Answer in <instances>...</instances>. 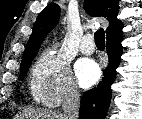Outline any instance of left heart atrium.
<instances>
[{
    "label": "left heart atrium",
    "instance_id": "39dd6f15",
    "mask_svg": "<svg viewBox=\"0 0 142 119\" xmlns=\"http://www.w3.org/2000/svg\"><path fill=\"white\" fill-rule=\"evenodd\" d=\"M76 75L82 87H89L99 80L101 70L93 60L85 59L77 64Z\"/></svg>",
    "mask_w": 142,
    "mask_h": 119
}]
</instances>
